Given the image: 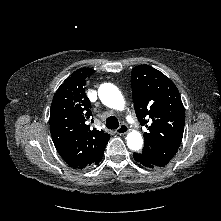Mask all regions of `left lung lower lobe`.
<instances>
[{
  "mask_svg": "<svg viewBox=\"0 0 221 221\" xmlns=\"http://www.w3.org/2000/svg\"><path fill=\"white\" fill-rule=\"evenodd\" d=\"M133 158L145 167H149V168L158 167L141 153H134Z\"/></svg>",
  "mask_w": 221,
  "mask_h": 221,
  "instance_id": "0a47b994",
  "label": "left lung lower lobe"
}]
</instances>
